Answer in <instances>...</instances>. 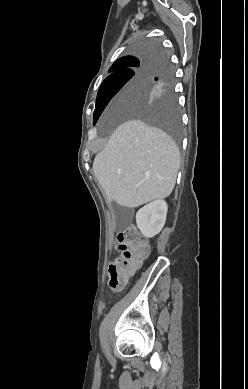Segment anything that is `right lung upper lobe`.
<instances>
[{
    "label": "right lung upper lobe",
    "mask_w": 248,
    "mask_h": 389,
    "mask_svg": "<svg viewBox=\"0 0 248 389\" xmlns=\"http://www.w3.org/2000/svg\"><path fill=\"white\" fill-rule=\"evenodd\" d=\"M160 51V49H154L151 50L149 53L145 55V57L141 56L140 59L133 57V56H127L120 58L117 60L110 68L109 72L116 71L125 67H128L133 64H140L143 66L151 65L156 66V60L159 57L161 53H157Z\"/></svg>",
    "instance_id": "right-lung-upper-lobe-1"
}]
</instances>
